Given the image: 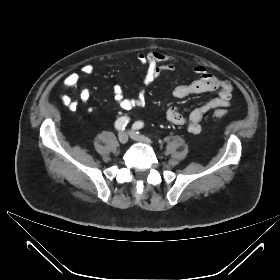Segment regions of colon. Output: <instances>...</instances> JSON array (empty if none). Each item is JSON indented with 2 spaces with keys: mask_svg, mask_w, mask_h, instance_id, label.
<instances>
[{
  "mask_svg": "<svg viewBox=\"0 0 280 280\" xmlns=\"http://www.w3.org/2000/svg\"><path fill=\"white\" fill-rule=\"evenodd\" d=\"M225 112L224 111H222V110H216L215 112H214V116L215 117H217V118H222V117H224L225 116Z\"/></svg>",
  "mask_w": 280,
  "mask_h": 280,
  "instance_id": "obj_1",
  "label": "colon"
}]
</instances>
